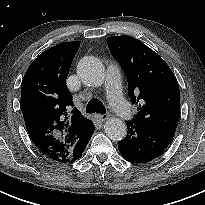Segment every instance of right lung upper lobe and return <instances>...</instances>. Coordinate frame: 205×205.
I'll return each instance as SVG.
<instances>
[{
  "mask_svg": "<svg viewBox=\"0 0 205 205\" xmlns=\"http://www.w3.org/2000/svg\"><path fill=\"white\" fill-rule=\"evenodd\" d=\"M80 42H65L42 52L29 66L21 84V110L29 136L53 161L69 163L75 143L92 122L74 108L66 86Z\"/></svg>",
  "mask_w": 205,
  "mask_h": 205,
  "instance_id": "1",
  "label": "right lung upper lobe"
}]
</instances>
